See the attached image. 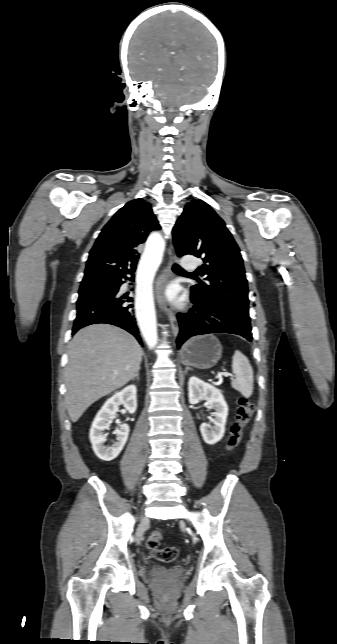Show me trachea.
<instances>
[{
    "label": "trachea",
    "mask_w": 337,
    "mask_h": 644,
    "mask_svg": "<svg viewBox=\"0 0 337 644\" xmlns=\"http://www.w3.org/2000/svg\"><path fill=\"white\" fill-rule=\"evenodd\" d=\"M172 269H173L174 271H177V272H182V273H186V274H193V273H188V272H186L185 270H183V269H182L179 265H177V264H174V265H173V267H172Z\"/></svg>",
    "instance_id": "trachea-1"
}]
</instances>
